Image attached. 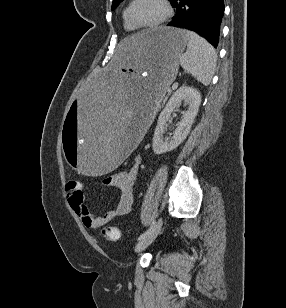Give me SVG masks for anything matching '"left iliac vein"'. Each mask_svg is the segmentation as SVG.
<instances>
[{
  "label": "left iliac vein",
  "instance_id": "left-iliac-vein-1",
  "mask_svg": "<svg viewBox=\"0 0 286 308\" xmlns=\"http://www.w3.org/2000/svg\"><path fill=\"white\" fill-rule=\"evenodd\" d=\"M161 227H162V219L159 218L158 221L155 223L153 229L150 231V233L137 243L135 247L136 252H140L146 249L156 239L161 230Z\"/></svg>",
  "mask_w": 286,
  "mask_h": 308
}]
</instances>
